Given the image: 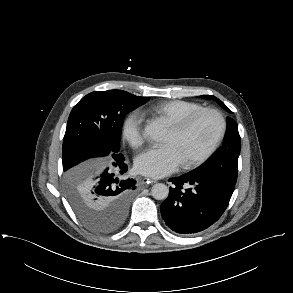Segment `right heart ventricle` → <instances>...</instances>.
I'll return each mask as SVG.
<instances>
[{
    "mask_svg": "<svg viewBox=\"0 0 293 293\" xmlns=\"http://www.w3.org/2000/svg\"><path fill=\"white\" fill-rule=\"evenodd\" d=\"M203 106L199 103L173 99L160 102L154 105L150 111L164 119H166L169 124H172L182 117L188 115L189 113L196 111Z\"/></svg>",
    "mask_w": 293,
    "mask_h": 293,
    "instance_id": "e07e8e85",
    "label": "right heart ventricle"
}]
</instances>
